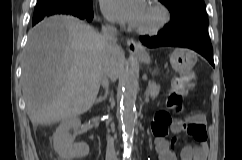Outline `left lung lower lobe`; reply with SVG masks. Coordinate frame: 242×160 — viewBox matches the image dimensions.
Returning a JSON list of instances; mask_svg holds the SVG:
<instances>
[{"label":"left lung lower lobe","mask_w":242,"mask_h":160,"mask_svg":"<svg viewBox=\"0 0 242 160\" xmlns=\"http://www.w3.org/2000/svg\"><path fill=\"white\" fill-rule=\"evenodd\" d=\"M139 40L149 48L161 46L190 48L204 56L214 67L213 51L207 26H192L175 34H170L163 28L157 36H141Z\"/></svg>","instance_id":"1"}]
</instances>
